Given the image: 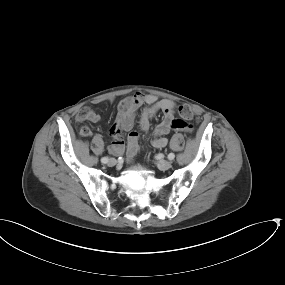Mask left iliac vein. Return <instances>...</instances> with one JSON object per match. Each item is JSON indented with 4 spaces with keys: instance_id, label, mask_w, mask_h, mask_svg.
<instances>
[{
    "instance_id": "1",
    "label": "left iliac vein",
    "mask_w": 285,
    "mask_h": 285,
    "mask_svg": "<svg viewBox=\"0 0 285 285\" xmlns=\"http://www.w3.org/2000/svg\"><path fill=\"white\" fill-rule=\"evenodd\" d=\"M157 167L160 170L165 171L171 167V162L168 160H159L157 163Z\"/></svg>"
}]
</instances>
